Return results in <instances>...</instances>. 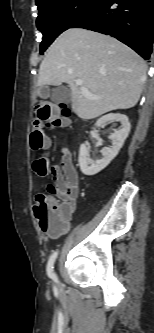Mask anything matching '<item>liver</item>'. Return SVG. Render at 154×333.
<instances>
[{
    "instance_id": "1",
    "label": "liver",
    "mask_w": 154,
    "mask_h": 333,
    "mask_svg": "<svg viewBox=\"0 0 154 333\" xmlns=\"http://www.w3.org/2000/svg\"><path fill=\"white\" fill-rule=\"evenodd\" d=\"M146 62L117 39L81 28L64 31L40 64L37 86L71 89L73 112L84 120L117 109L134 107L146 80ZM81 79L82 86L75 81ZM81 87L99 97L89 99Z\"/></svg>"
}]
</instances>
